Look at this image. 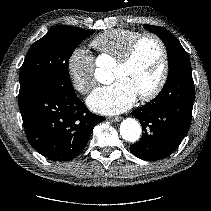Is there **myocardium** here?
<instances>
[{
	"label": "myocardium",
	"instance_id": "1",
	"mask_svg": "<svg viewBox=\"0 0 211 211\" xmlns=\"http://www.w3.org/2000/svg\"><path fill=\"white\" fill-rule=\"evenodd\" d=\"M145 39H152L157 43L161 50V57H162V69L159 76L158 81L156 82L155 86L147 93L139 95V100L142 102H148L156 98L162 89L164 88L168 74H169V57H168V50L166 47L165 42L159 37L157 34L152 32H145L138 35L128 46L125 53L116 61V66L118 67H126L128 66L135 57L137 49L140 43Z\"/></svg>",
	"mask_w": 211,
	"mask_h": 211
}]
</instances>
